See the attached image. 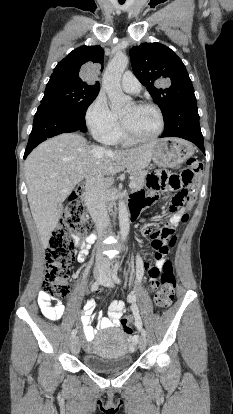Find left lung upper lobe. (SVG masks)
Instances as JSON below:
<instances>
[{
	"instance_id": "obj_1",
	"label": "left lung upper lobe",
	"mask_w": 233,
	"mask_h": 414,
	"mask_svg": "<svg viewBox=\"0 0 233 414\" xmlns=\"http://www.w3.org/2000/svg\"><path fill=\"white\" fill-rule=\"evenodd\" d=\"M132 69L160 107L166 119L185 100L196 99L192 82L181 59L160 43H142L130 50ZM167 83L160 88L159 82Z\"/></svg>"
}]
</instances>
